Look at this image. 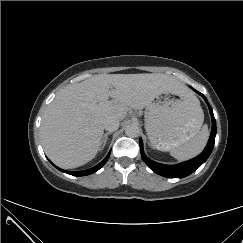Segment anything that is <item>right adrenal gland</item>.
I'll use <instances>...</instances> for the list:
<instances>
[{
  "label": "right adrenal gland",
  "mask_w": 243,
  "mask_h": 243,
  "mask_svg": "<svg viewBox=\"0 0 243 243\" xmlns=\"http://www.w3.org/2000/svg\"><path fill=\"white\" fill-rule=\"evenodd\" d=\"M112 134V132H107L104 134L103 138H102V146L100 148V151L103 150V148L105 147L106 143H107V140H108V136Z\"/></svg>",
  "instance_id": "obj_1"
}]
</instances>
